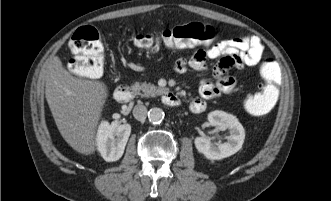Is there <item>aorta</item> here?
<instances>
[{
  "label": "aorta",
  "mask_w": 331,
  "mask_h": 201,
  "mask_svg": "<svg viewBox=\"0 0 331 201\" xmlns=\"http://www.w3.org/2000/svg\"><path fill=\"white\" fill-rule=\"evenodd\" d=\"M164 111L161 108H151L148 112V119L153 124H160L164 120Z\"/></svg>",
  "instance_id": "1"
}]
</instances>
